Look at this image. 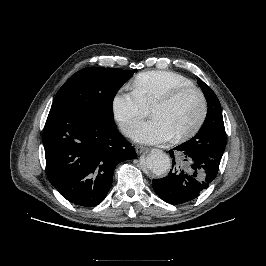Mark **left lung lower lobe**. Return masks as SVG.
Returning a JSON list of instances; mask_svg holds the SVG:
<instances>
[{
	"label": "left lung lower lobe",
	"instance_id": "1",
	"mask_svg": "<svg viewBox=\"0 0 266 266\" xmlns=\"http://www.w3.org/2000/svg\"><path fill=\"white\" fill-rule=\"evenodd\" d=\"M169 153L173 159L169 174L152 181L155 193L165 202L177 205L191 201L216 178L220 159L190 150L184 143ZM175 154L178 155V163Z\"/></svg>",
	"mask_w": 266,
	"mask_h": 266
}]
</instances>
